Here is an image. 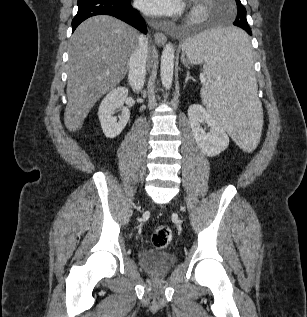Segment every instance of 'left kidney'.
I'll list each match as a JSON object with an SVG mask.
<instances>
[{
  "label": "left kidney",
  "mask_w": 307,
  "mask_h": 317,
  "mask_svg": "<svg viewBox=\"0 0 307 317\" xmlns=\"http://www.w3.org/2000/svg\"><path fill=\"white\" fill-rule=\"evenodd\" d=\"M188 118L196 143L204 154L216 156L228 147L229 137L224 127L201 105H191ZM202 124H206L210 132H206Z\"/></svg>",
  "instance_id": "5707ae66"
}]
</instances>
